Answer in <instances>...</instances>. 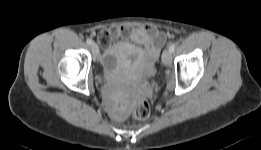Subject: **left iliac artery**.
Returning a JSON list of instances; mask_svg holds the SVG:
<instances>
[{"label": "left iliac artery", "mask_w": 261, "mask_h": 150, "mask_svg": "<svg viewBox=\"0 0 261 150\" xmlns=\"http://www.w3.org/2000/svg\"><path fill=\"white\" fill-rule=\"evenodd\" d=\"M175 48H176V45L175 44H171L170 47H169V50L171 52H174Z\"/></svg>", "instance_id": "1"}]
</instances>
